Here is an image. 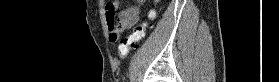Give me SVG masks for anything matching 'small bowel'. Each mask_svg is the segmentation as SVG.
I'll use <instances>...</instances> for the list:
<instances>
[{
  "label": "small bowel",
  "instance_id": "1",
  "mask_svg": "<svg viewBox=\"0 0 279 82\" xmlns=\"http://www.w3.org/2000/svg\"><path fill=\"white\" fill-rule=\"evenodd\" d=\"M143 0H136V5L129 6L120 11L117 19L115 11L119 6V1H113L106 4V20L109 27L110 41L117 43L120 34L137 24L140 14V5Z\"/></svg>",
  "mask_w": 279,
  "mask_h": 82
}]
</instances>
